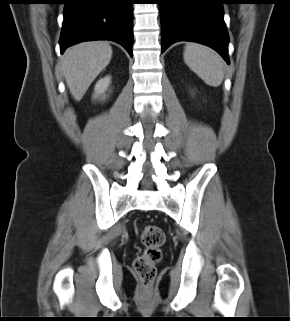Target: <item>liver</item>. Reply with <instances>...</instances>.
<instances>
[{"label":"liver","instance_id":"1","mask_svg":"<svg viewBox=\"0 0 290 321\" xmlns=\"http://www.w3.org/2000/svg\"><path fill=\"white\" fill-rule=\"evenodd\" d=\"M112 47L105 41L82 42L68 48L59 68L71 95L80 101L94 79L110 63Z\"/></svg>","mask_w":290,"mask_h":321}]
</instances>
